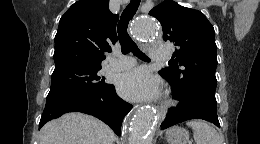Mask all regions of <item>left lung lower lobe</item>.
Returning a JSON list of instances; mask_svg holds the SVG:
<instances>
[{
    "mask_svg": "<svg viewBox=\"0 0 260 144\" xmlns=\"http://www.w3.org/2000/svg\"><path fill=\"white\" fill-rule=\"evenodd\" d=\"M173 96L179 100V104L168 110L165 120L161 123V129L191 119L206 120L220 127L215 97L197 91H191L182 96L173 94Z\"/></svg>",
    "mask_w": 260,
    "mask_h": 144,
    "instance_id": "left-lung-lower-lobe-1",
    "label": "left lung lower lobe"
}]
</instances>
